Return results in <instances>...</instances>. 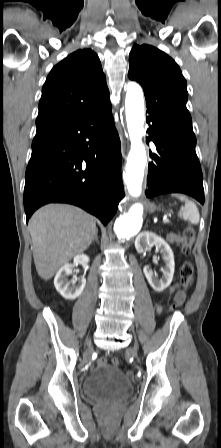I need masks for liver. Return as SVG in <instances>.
I'll list each match as a JSON object with an SVG mask.
<instances>
[{"label":"liver","instance_id":"liver-1","mask_svg":"<svg viewBox=\"0 0 221 448\" xmlns=\"http://www.w3.org/2000/svg\"><path fill=\"white\" fill-rule=\"evenodd\" d=\"M33 258L43 280L73 257L83 253L97 231L93 216L71 205L49 204L38 209L29 221Z\"/></svg>","mask_w":221,"mask_h":448}]
</instances>
